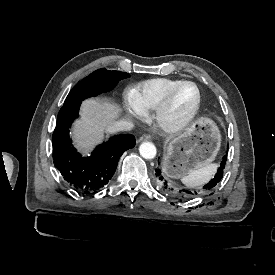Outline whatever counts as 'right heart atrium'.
Listing matches in <instances>:
<instances>
[{"label": "right heart atrium", "mask_w": 275, "mask_h": 275, "mask_svg": "<svg viewBox=\"0 0 275 275\" xmlns=\"http://www.w3.org/2000/svg\"><path fill=\"white\" fill-rule=\"evenodd\" d=\"M126 109L128 116L131 120H142L144 117V112L139 110L132 101V97L126 99Z\"/></svg>", "instance_id": "d8ad5b80"}]
</instances>
